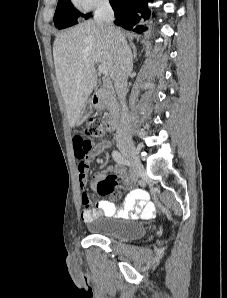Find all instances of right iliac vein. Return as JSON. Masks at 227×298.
I'll return each mask as SVG.
<instances>
[{
	"mask_svg": "<svg viewBox=\"0 0 227 298\" xmlns=\"http://www.w3.org/2000/svg\"><path fill=\"white\" fill-rule=\"evenodd\" d=\"M119 149L131 164L134 178H137L143 170V166L139 159L138 151L132 142H122Z\"/></svg>",
	"mask_w": 227,
	"mask_h": 298,
	"instance_id": "1",
	"label": "right iliac vein"
}]
</instances>
